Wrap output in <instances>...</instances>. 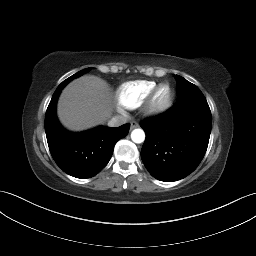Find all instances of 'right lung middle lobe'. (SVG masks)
Instances as JSON below:
<instances>
[{"label":"right lung middle lobe","mask_w":256,"mask_h":256,"mask_svg":"<svg viewBox=\"0 0 256 256\" xmlns=\"http://www.w3.org/2000/svg\"><path fill=\"white\" fill-rule=\"evenodd\" d=\"M91 68H86L83 69L79 72H77L76 74L72 75L71 77L67 78L65 81H63L60 85L65 86L67 83H69L71 80H73L74 78H77L81 75H83L85 72L89 71Z\"/></svg>","instance_id":"obj_1"}]
</instances>
